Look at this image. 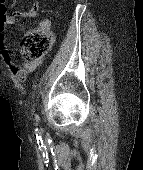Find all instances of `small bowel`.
Here are the masks:
<instances>
[{"label":"small bowel","instance_id":"1","mask_svg":"<svg viewBox=\"0 0 143 170\" xmlns=\"http://www.w3.org/2000/svg\"><path fill=\"white\" fill-rule=\"evenodd\" d=\"M40 10V4L34 3L28 10L26 11H16L12 15H10L6 20L0 21V54L6 64L10 72L18 78L25 79L27 74L32 73L37 69V67L41 64V60H35L31 62H25L22 65L15 63L12 58L11 53L5 47L7 33L6 28L9 25H14L18 22L26 23L29 19L35 18L38 16ZM50 27V22L48 20H44L41 23V28L47 30Z\"/></svg>","mask_w":143,"mask_h":170}]
</instances>
